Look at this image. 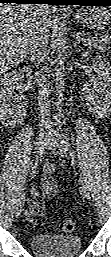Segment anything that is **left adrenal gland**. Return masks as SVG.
<instances>
[{
    "label": "left adrenal gland",
    "instance_id": "obj_1",
    "mask_svg": "<svg viewBox=\"0 0 111 257\" xmlns=\"http://www.w3.org/2000/svg\"><path fill=\"white\" fill-rule=\"evenodd\" d=\"M75 38V42H74V47H76L78 44H80L81 42H83L84 45H86V40L82 37L81 32L76 33V35L74 36Z\"/></svg>",
    "mask_w": 111,
    "mask_h": 257
}]
</instances>
